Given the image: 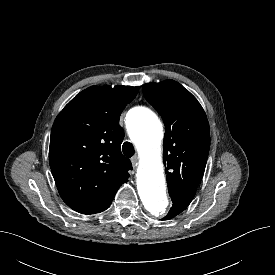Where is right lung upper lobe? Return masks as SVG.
Instances as JSON below:
<instances>
[{
	"label": "right lung upper lobe",
	"instance_id": "obj_1",
	"mask_svg": "<svg viewBox=\"0 0 275 275\" xmlns=\"http://www.w3.org/2000/svg\"><path fill=\"white\" fill-rule=\"evenodd\" d=\"M138 87L91 86L59 113L51 130L49 163L59 194L73 210H106L127 182L130 160L120 151L119 116Z\"/></svg>",
	"mask_w": 275,
	"mask_h": 275
}]
</instances>
